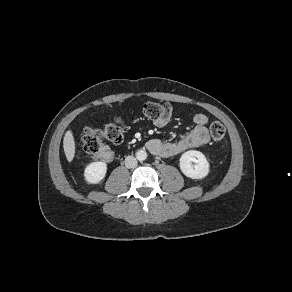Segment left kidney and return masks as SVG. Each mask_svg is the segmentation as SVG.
<instances>
[{"label": "left kidney", "instance_id": "1", "mask_svg": "<svg viewBox=\"0 0 292 292\" xmlns=\"http://www.w3.org/2000/svg\"><path fill=\"white\" fill-rule=\"evenodd\" d=\"M182 173L191 179H203L209 173V162L200 151L190 150L182 154L179 163Z\"/></svg>", "mask_w": 292, "mask_h": 292}]
</instances>
